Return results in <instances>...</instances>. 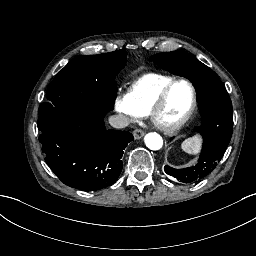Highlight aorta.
Wrapping results in <instances>:
<instances>
[{
	"label": "aorta",
	"mask_w": 256,
	"mask_h": 256,
	"mask_svg": "<svg viewBox=\"0 0 256 256\" xmlns=\"http://www.w3.org/2000/svg\"><path fill=\"white\" fill-rule=\"evenodd\" d=\"M145 145L150 150H159L163 146V138L156 132H150L144 137Z\"/></svg>",
	"instance_id": "762f6f07"
}]
</instances>
